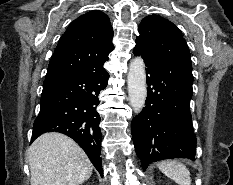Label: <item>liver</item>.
<instances>
[{
	"label": "liver",
	"instance_id": "6515ba94",
	"mask_svg": "<svg viewBox=\"0 0 233 185\" xmlns=\"http://www.w3.org/2000/svg\"><path fill=\"white\" fill-rule=\"evenodd\" d=\"M31 185H79L93 166L81 147L68 136L50 132L38 137L27 151Z\"/></svg>",
	"mask_w": 233,
	"mask_h": 185
}]
</instances>
